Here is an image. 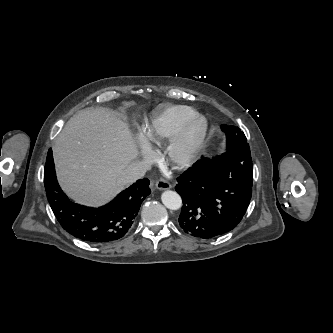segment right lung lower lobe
Segmentation results:
<instances>
[{"label": "right lung lower lobe", "mask_w": 333, "mask_h": 333, "mask_svg": "<svg viewBox=\"0 0 333 333\" xmlns=\"http://www.w3.org/2000/svg\"><path fill=\"white\" fill-rule=\"evenodd\" d=\"M44 184L49 204L60 225L72 236L89 243H108L131 229L143 200L151 193L149 180L140 179L99 208L76 204L61 190L49 149Z\"/></svg>", "instance_id": "right-lung-lower-lobe-1"}]
</instances>
